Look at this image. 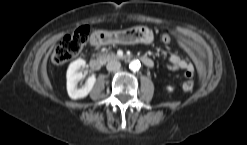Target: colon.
<instances>
[{
    "instance_id": "1",
    "label": "colon",
    "mask_w": 247,
    "mask_h": 145,
    "mask_svg": "<svg viewBox=\"0 0 247 145\" xmlns=\"http://www.w3.org/2000/svg\"><path fill=\"white\" fill-rule=\"evenodd\" d=\"M89 36V28L86 26L79 27L72 33L64 36L56 45L53 54L52 62L55 65H62L75 58L85 46ZM163 42L168 43L171 40V35L168 30H163L161 34ZM184 91H191L194 88L193 74H186V79L182 84Z\"/></svg>"
}]
</instances>
